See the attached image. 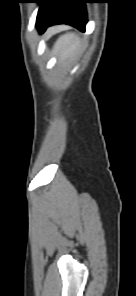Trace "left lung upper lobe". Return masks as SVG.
<instances>
[{"instance_id":"5c2ea615","label":"left lung upper lobe","mask_w":136,"mask_h":296,"mask_svg":"<svg viewBox=\"0 0 136 296\" xmlns=\"http://www.w3.org/2000/svg\"><path fill=\"white\" fill-rule=\"evenodd\" d=\"M34 2L40 4L36 22L41 21L51 10L54 0H35Z\"/></svg>"}]
</instances>
